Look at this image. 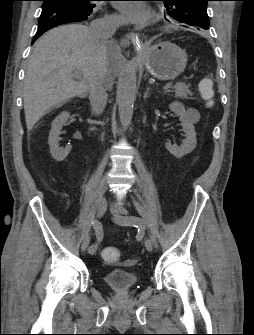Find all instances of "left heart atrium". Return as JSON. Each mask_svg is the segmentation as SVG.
Masks as SVG:
<instances>
[{
	"label": "left heart atrium",
	"instance_id": "obj_1",
	"mask_svg": "<svg viewBox=\"0 0 254 335\" xmlns=\"http://www.w3.org/2000/svg\"><path fill=\"white\" fill-rule=\"evenodd\" d=\"M117 9L126 22L138 26L146 25L152 16L148 6L139 1H120L117 3Z\"/></svg>",
	"mask_w": 254,
	"mask_h": 335
}]
</instances>
